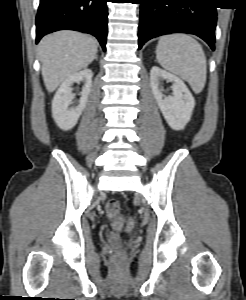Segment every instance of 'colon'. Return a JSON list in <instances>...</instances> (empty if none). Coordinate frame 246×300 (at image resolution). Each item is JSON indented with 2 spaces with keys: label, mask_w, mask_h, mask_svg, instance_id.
<instances>
[{
  "label": "colon",
  "mask_w": 246,
  "mask_h": 300,
  "mask_svg": "<svg viewBox=\"0 0 246 300\" xmlns=\"http://www.w3.org/2000/svg\"><path fill=\"white\" fill-rule=\"evenodd\" d=\"M106 214L113 221V226L117 230L130 231L134 226V221L130 217H124L119 214V202L116 199H110L106 203ZM124 254L122 251H117L113 259L114 261H122Z\"/></svg>",
  "instance_id": "1"
}]
</instances>
